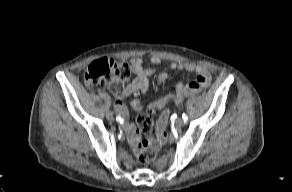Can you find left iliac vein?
<instances>
[{"label": "left iliac vein", "instance_id": "4c4485c4", "mask_svg": "<svg viewBox=\"0 0 292 192\" xmlns=\"http://www.w3.org/2000/svg\"><path fill=\"white\" fill-rule=\"evenodd\" d=\"M183 125H184V120H183V119L178 118V119L175 121V126H176L177 128H181Z\"/></svg>", "mask_w": 292, "mask_h": 192}]
</instances>
